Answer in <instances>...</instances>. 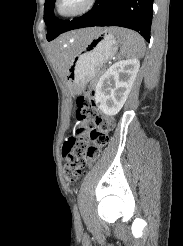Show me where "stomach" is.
Listing matches in <instances>:
<instances>
[{"label":"stomach","mask_w":183,"mask_h":246,"mask_svg":"<svg viewBox=\"0 0 183 246\" xmlns=\"http://www.w3.org/2000/svg\"><path fill=\"white\" fill-rule=\"evenodd\" d=\"M116 30L117 28L99 29L89 41L65 42L64 50L69 56L66 83L72 94L81 93L84 85L116 53L119 44Z\"/></svg>","instance_id":"obj_1"}]
</instances>
